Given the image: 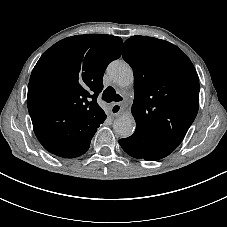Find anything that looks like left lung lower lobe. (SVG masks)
<instances>
[{"mask_svg": "<svg viewBox=\"0 0 227 227\" xmlns=\"http://www.w3.org/2000/svg\"><path fill=\"white\" fill-rule=\"evenodd\" d=\"M119 144L127 154L137 159L159 160L171 153L140 135L133 134L128 138L121 139Z\"/></svg>", "mask_w": 227, "mask_h": 227, "instance_id": "0a47b994", "label": "left lung lower lobe"}]
</instances>
